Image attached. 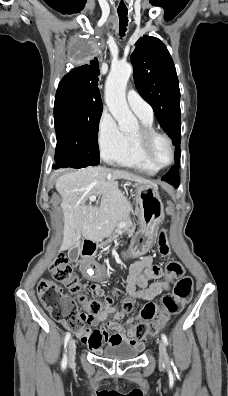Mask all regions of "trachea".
Masks as SVG:
<instances>
[{"instance_id": "obj_1", "label": "trachea", "mask_w": 228, "mask_h": 396, "mask_svg": "<svg viewBox=\"0 0 228 396\" xmlns=\"http://www.w3.org/2000/svg\"><path fill=\"white\" fill-rule=\"evenodd\" d=\"M128 11H118V16H119V35L121 37L125 36V32L127 30V25H128Z\"/></svg>"}]
</instances>
